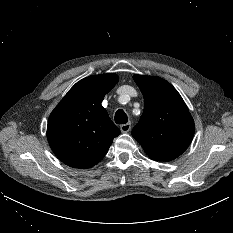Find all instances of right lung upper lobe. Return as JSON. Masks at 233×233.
<instances>
[{"label": "right lung upper lobe", "instance_id": "obj_1", "mask_svg": "<svg viewBox=\"0 0 233 233\" xmlns=\"http://www.w3.org/2000/svg\"><path fill=\"white\" fill-rule=\"evenodd\" d=\"M116 74L86 77L77 82L52 111L47 139L56 156L74 168H90L106 155L120 130L101 103L116 85Z\"/></svg>", "mask_w": 233, "mask_h": 233}]
</instances>
